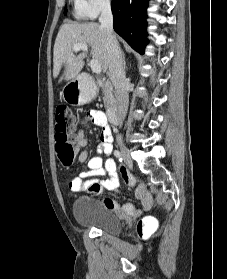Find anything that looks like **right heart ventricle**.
Returning <instances> with one entry per match:
<instances>
[{
  "label": "right heart ventricle",
  "instance_id": "e07e8e85",
  "mask_svg": "<svg viewBox=\"0 0 227 279\" xmlns=\"http://www.w3.org/2000/svg\"><path fill=\"white\" fill-rule=\"evenodd\" d=\"M75 1V6H76V16L77 17H83L85 13L82 11L80 8V1L79 0H74Z\"/></svg>",
  "mask_w": 227,
  "mask_h": 279
}]
</instances>
